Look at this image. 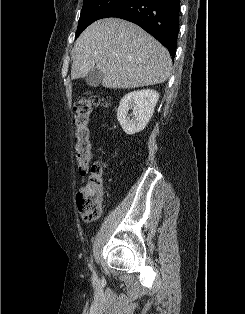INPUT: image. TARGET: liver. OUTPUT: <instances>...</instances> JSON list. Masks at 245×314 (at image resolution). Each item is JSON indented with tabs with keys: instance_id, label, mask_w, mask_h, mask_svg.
Segmentation results:
<instances>
[{
	"instance_id": "obj_1",
	"label": "liver",
	"mask_w": 245,
	"mask_h": 314,
	"mask_svg": "<svg viewBox=\"0 0 245 314\" xmlns=\"http://www.w3.org/2000/svg\"><path fill=\"white\" fill-rule=\"evenodd\" d=\"M97 67L105 88H137L164 83L171 75L168 50L138 25L118 18L98 20L75 42L71 78Z\"/></svg>"
}]
</instances>
